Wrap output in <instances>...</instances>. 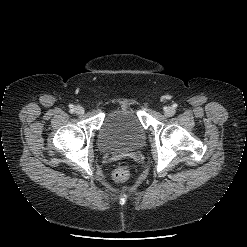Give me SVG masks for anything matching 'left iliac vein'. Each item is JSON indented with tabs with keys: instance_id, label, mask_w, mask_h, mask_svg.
<instances>
[{
	"instance_id": "obj_1",
	"label": "left iliac vein",
	"mask_w": 247,
	"mask_h": 247,
	"mask_svg": "<svg viewBox=\"0 0 247 247\" xmlns=\"http://www.w3.org/2000/svg\"><path fill=\"white\" fill-rule=\"evenodd\" d=\"M174 112H175V110L172 107H166L164 110V114L166 116H171L174 114Z\"/></svg>"
}]
</instances>
